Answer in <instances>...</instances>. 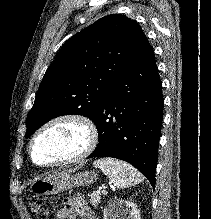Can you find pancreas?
Masks as SVG:
<instances>
[{"label":"pancreas","mask_w":211,"mask_h":219,"mask_svg":"<svg viewBox=\"0 0 211 219\" xmlns=\"http://www.w3.org/2000/svg\"><path fill=\"white\" fill-rule=\"evenodd\" d=\"M88 196H89L90 203L92 204V206H94L95 209H98L100 201H101L100 195L98 193L93 192L89 194Z\"/></svg>","instance_id":"cf45deb5"}]
</instances>
